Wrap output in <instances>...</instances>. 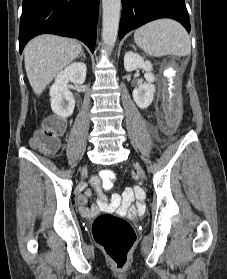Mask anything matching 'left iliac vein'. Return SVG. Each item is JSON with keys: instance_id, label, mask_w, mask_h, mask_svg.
Listing matches in <instances>:
<instances>
[{"instance_id": "left-iliac-vein-1", "label": "left iliac vein", "mask_w": 227, "mask_h": 279, "mask_svg": "<svg viewBox=\"0 0 227 279\" xmlns=\"http://www.w3.org/2000/svg\"><path fill=\"white\" fill-rule=\"evenodd\" d=\"M135 168L138 170L140 176L144 179L145 174H144L143 170L139 167V165L135 164Z\"/></svg>"}]
</instances>
